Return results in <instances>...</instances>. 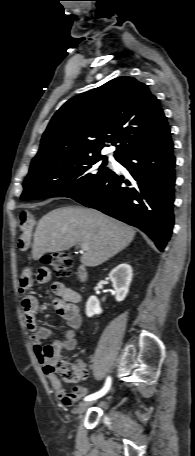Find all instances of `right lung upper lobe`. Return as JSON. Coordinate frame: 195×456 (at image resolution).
I'll list each match as a JSON object with an SVG mask.
<instances>
[{"label": "right lung upper lobe", "instance_id": "right-lung-upper-lobe-1", "mask_svg": "<svg viewBox=\"0 0 195 456\" xmlns=\"http://www.w3.org/2000/svg\"><path fill=\"white\" fill-rule=\"evenodd\" d=\"M170 139L159 100L144 83L124 76L68 100L51 119L30 167L65 157L100 155L107 143L118 144L117 159Z\"/></svg>", "mask_w": 195, "mask_h": 456}]
</instances>
